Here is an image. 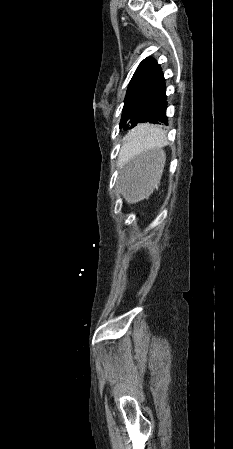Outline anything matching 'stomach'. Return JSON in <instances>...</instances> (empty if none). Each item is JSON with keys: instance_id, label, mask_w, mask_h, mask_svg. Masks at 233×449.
<instances>
[{"instance_id": "stomach-1", "label": "stomach", "mask_w": 233, "mask_h": 449, "mask_svg": "<svg viewBox=\"0 0 233 449\" xmlns=\"http://www.w3.org/2000/svg\"><path fill=\"white\" fill-rule=\"evenodd\" d=\"M164 161V152L155 148L142 153L126 167L123 173V197L127 202L149 201Z\"/></svg>"}]
</instances>
